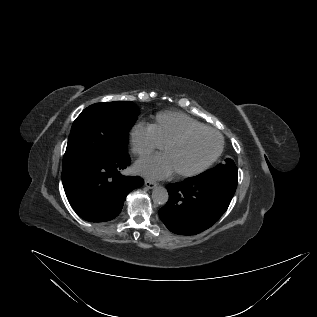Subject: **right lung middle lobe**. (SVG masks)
Listing matches in <instances>:
<instances>
[{
	"instance_id": "right-lung-middle-lobe-1",
	"label": "right lung middle lobe",
	"mask_w": 317,
	"mask_h": 317,
	"mask_svg": "<svg viewBox=\"0 0 317 317\" xmlns=\"http://www.w3.org/2000/svg\"><path fill=\"white\" fill-rule=\"evenodd\" d=\"M140 111L133 102L96 103L74 121L63 158V172L128 154L129 131Z\"/></svg>"
}]
</instances>
